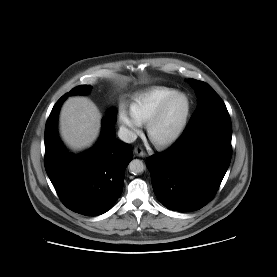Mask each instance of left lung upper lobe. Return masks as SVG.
Here are the masks:
<instances>
[{"label":"left lung upper lobe","instance_id":"obj_1","mask_svg":"<svg viewBox=\"0 0 277 277\" xmlns=\"http://www.w3.org/2000/svg\"><path fill=\"white\" fill-rule=\"evenodd\" d=\"M188 82L195 88L199 97L197 108L191 117L190 122L208 113L227 109L219 95L208 84L195 79H188Z\"/></svg>","mask_w":277,"mask_h":277}]
</instances>
